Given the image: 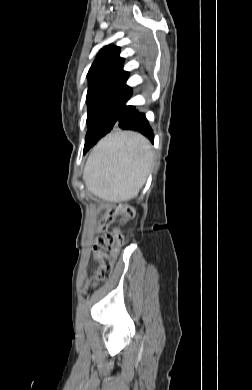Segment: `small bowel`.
<instances>
[{
  "label": "small bowel",
  "mask_w": 252,
  "mask_h": 390,
  "mask_svg": "<svg viewBox=\"0 0 252 390\" xmlns=\"http://www.w3.org/2000/svg\"><path fill=\"white\" fill-rule=\"evenodd\" d=\"M95 259H98L96 255H94Z\"/></svg>",
  "instance_id": "1"
}]
</instances>
